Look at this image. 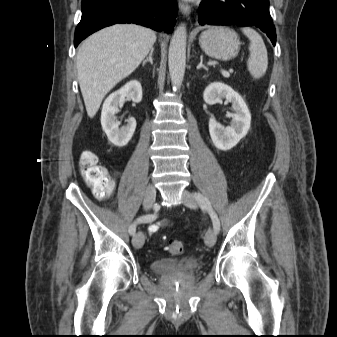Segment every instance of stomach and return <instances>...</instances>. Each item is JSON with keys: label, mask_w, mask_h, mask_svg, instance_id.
Returning <instances> with one entry per match:
<instances>
[{"label": "stomach", "mask_w": 337, "mask_h": 337, "mask_svg": "<svg viewBox=\"0 0 337 337\" xmlns=\"http://www.w3.org/2000/svg\"><path fill=\"white\" fill-rule=\"evenodd\" d=\"M199 44L208 56L224 61L236 57L240 50L238 35L226 27H210L202 32Z\"/></svg>", "instance_id": "obj_1"}]
</instances>
